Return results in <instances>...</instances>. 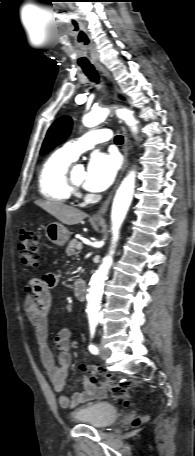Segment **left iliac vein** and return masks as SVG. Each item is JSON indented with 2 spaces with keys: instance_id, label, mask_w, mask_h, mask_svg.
Instances as JSON below:
<instances>
[{
  "instance_id": "4c4485c4",
  "label": "left iliac vein",
  "mask_w": 195,
  "mask_h": 456,
  "mask_svg": "<svg viewBox=\"0 0 195 456\" xmlns=\"http://www.w3.org/2000/svg\"><path fill=\"white\" fill-rule=\"evenodd\" d=\"M99 355L103 360H106L111 355V350L103 345H99Z\"/></svg>"
}]
</instances>
